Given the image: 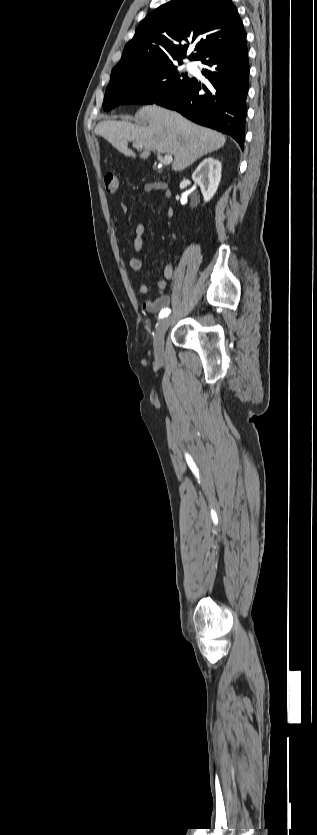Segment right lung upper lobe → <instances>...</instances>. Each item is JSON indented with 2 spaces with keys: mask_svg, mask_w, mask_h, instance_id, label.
<instances>
[{
  "mask_svg": "<svg viewBox=\"0 0 317 835\" xmlns=\"http://www.w3.org/2000/svg\"><path fill=\"white\" fill-rule=\"evenodd\" d=\"M246 38L232 0H176L161 5L143 19L112 71H142L179 63L189 43H196L190 60L220 46ZM184 41L181 45L176 42Z\"/></svg>",
  "mask_w": 317,
  "mask_h": 835,
  "instance_id": "obj_1",
  "label": "right lung upper lobe"
}]
</instances>
